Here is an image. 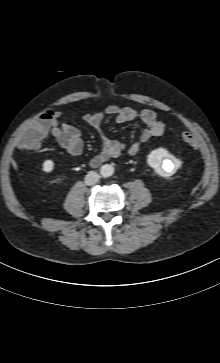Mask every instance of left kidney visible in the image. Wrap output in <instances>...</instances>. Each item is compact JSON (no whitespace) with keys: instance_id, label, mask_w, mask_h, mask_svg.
<instances>
[{"instance_id":"1","label":"left kidney","mask_w":220,"mask_h":363,"mask_svg":"<svg viewBox=\"0 0 220 363\" xmlns=\"http://www.w3.org/2000/svg\"><path fill=\"white\" fill-rule=\"evenodd\" d=\"M147 161L154 171L163 177L173 175L181 167V161L173 157L164 148L152 150Z\"/></svg>"}]
</instances>
